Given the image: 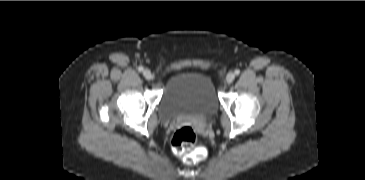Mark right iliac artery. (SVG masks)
Instances as JSON below:
<instances>
[{"label":"right iliac artery","mask_w":365,"mask_h":180,"mask_svg":"<svg viewBox=\"0 0 365 180\" xmlns=\"http://www.w3.org/2000/svg\"><path fill=\"white\" fill-rule=\"evenodd\" d=\"M144 70V68L142 67V66H140L139 68H138V71L139 72H142Z\"/></svg>","instance_id":"82829eb1"}]
</instances>
